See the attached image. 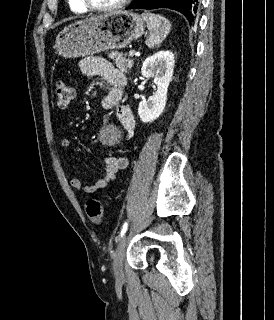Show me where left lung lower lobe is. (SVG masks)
<instances>
[{
  "mask_svg": "<svg viewBox=\"0 0 274 320\" xmlns=\"http://www.w3.org/2000/svg\"><path fill=\"white\" fill-rule=\"evenodd\" d=\"M168 8L181 12L192 23L197 18L199 0H134L126 9Z\"/></svg>",
  "mask_w": 274,
  "mask_h": 320,
  "instance_id": "left-lung-lower-lobe-1",
  "label": "left lung lower lobe"
}]
</instances>
